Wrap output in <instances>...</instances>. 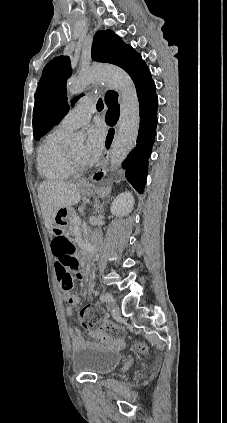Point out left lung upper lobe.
I'll return each mask as SVG.
<instances>
[{
	"mask_svg": "<svg viewBox=\"0 0 227 423\" xmlns=\"http://www.w3.org/2000/svg\"><path fill=\"white\" fill-rule=\"evenodd\" d=\"M92 58L108 62L124 69L132 78L135 86L149 73L141 55L133 50L111 30L99 31L94 36ZM71 74L70 60L66 56L54 58L43 70L38 83L33 109L34 138L40 139L68 113L66 102V81ZM78 97L72 100L75 102ZM118 94L108 91L105 103L111 108L117 104ZM119 106V105H118Z\"/></svg>",
	"mask_w": 227,
	"mask_h": 423,
	"instance_id": "5c2ea615",
	"label": "left lung upper lobe"
}]
</instances>
